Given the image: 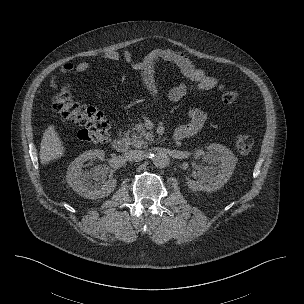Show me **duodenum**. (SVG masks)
I'll use <instances>...</instances> for the list:
<instances>
[{"mask_svg": "<svg viewBox=\"0 0 304 304\" xmlns=\"http://www.w3.org/2000/svg\"><path fill=\"white\" fill-rule=\"evenodd\" d=\"M182 139H184V135L178 130H176L174 134V140H182ZM113 147L118 152L127 151L129 147L128 139L126 138L123 132H120L118 137L114 140Z\"/></svg>", "mask_w": 304, "mask_h": 304, "instance_id": "duodenum-1", "label": "duodenum"}]
</instances>
